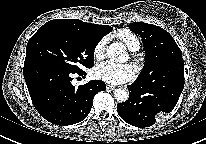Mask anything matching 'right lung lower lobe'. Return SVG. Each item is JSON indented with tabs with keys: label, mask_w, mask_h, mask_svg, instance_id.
<instances>
[{
	"label": "right lung lower lobe",
	"mask_w": 206,
	"mask_h": 144,
	"mask_svg": "<svg viewBox=\"0 0 206 144\" xmlns=\"http://www.w3.org/2000/svg\"><path fill=\"white\" fill-rule=\"evenodd\" d=\"M23 71L36 110L56 125L67 126L84 120L91 110L94 96L106 89L101 80L73 86L72 75H84V71L69 72L44 64L25 66Z\"/></svg>",
	"instance_id": "98d812e1"
}]
</instances>
